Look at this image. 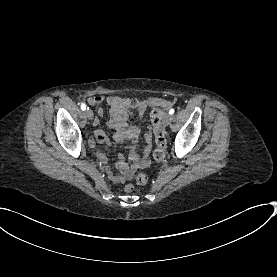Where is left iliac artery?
<instances>
[{"label":"left iliac artery","instance_id":"obj_1","mask_svg":"<svg viewBox=\"0 0 277 277\" xmlns=\"http://www.w3.org/2000/svg\"><path fill=\"white\" fill-rule=\"evenodd\" d=\"M174 113V109H170V111H169V114H173Z\"/></svg>","mask_w":277,"mask_h":277}]
</instances>
